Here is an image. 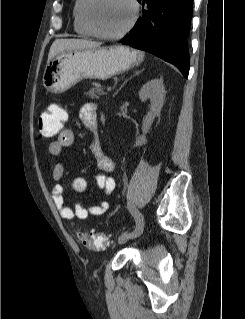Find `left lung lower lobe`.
Returning <instances> with one entry per match:
<instances>
[{
	"instance_id": "left-lung-lower-lobe-1",
	"label": "left lung lower lobe",
	"mask_w": 245,
	"mask_h": 319,
	"mask_svg": "<svg viewBox=\"0 0 245 319\" xmlns=\"http://www.w3.org/2000/svg\"><path fill=\"white\" fill-rule=\"evenodd\" d=\"M140 2V0H138ZM148 8L122 44L150 52L175 65L188 76L190 60L187 37L193 0H142Z\"/></svg>"
}]
</instances>
